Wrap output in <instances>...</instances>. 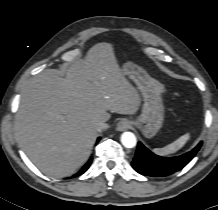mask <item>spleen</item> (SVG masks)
I'll list each match as a JSON object with an SVG mask.
<instances>
[{
	"mask_svg": "<svg viewBox=\"0 0 218 210\" xmlns=\"http://www.w3.org/2000/svg\"><path fill=\"white\" fill-rule=\"evenodd\" d=\"M189 137L190 135L187 133L163 148H155L154 152L161 156H166L175 153L184 146V144L188 141Z\"/></svg>",
	"mask_w": 218,
	"mask_h": 210,
	"instance_id": "1",
	"label": "spleen"
}]
</instances>
